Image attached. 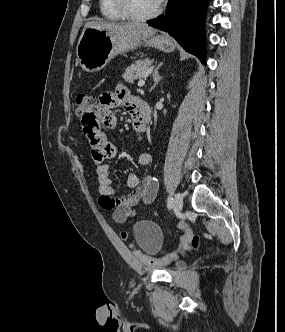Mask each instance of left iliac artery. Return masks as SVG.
<instances>
[{
    "label": "left iliac artery",
    "instance_id": "left-iliac-artery-1",
    "mask_svg": "<svg viewBox=\"0 0 285 332\" xmlns=\"http://www.w3.org/2000/svg\"><path fill=\"white\" fill-rule=\"evenodd\" d=\"M173 206V198L171 196L168 197V200H167V207L169 209H171Z\"/></svg>",
    "mask_w": 285,
    "mask_h": 332
}]
</instances>
